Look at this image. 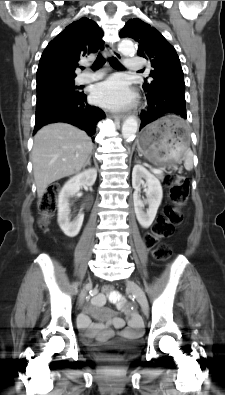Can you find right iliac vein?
<instances>
[{"label": "right iliac vein", "mask_w": 225, "mask_h": 395, "mask_svg": "<svg viewBox=\"0 0 225 395\" xmlns=\"http://www.w3.org/2000/svg\"><path fill=\"white\" fill-rule=\"evenodd\" d=\"M88 288H89V284H87V285L85 286V288L83 289V291H82V293H81V295H80V298H79V304H80V305H82L83 302H84V299H85V296H86V293H87Z\"/></svg>", "instance_id": "right-iliac-vein-1"}]
</instances>
